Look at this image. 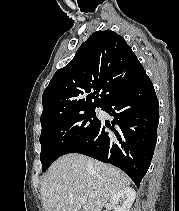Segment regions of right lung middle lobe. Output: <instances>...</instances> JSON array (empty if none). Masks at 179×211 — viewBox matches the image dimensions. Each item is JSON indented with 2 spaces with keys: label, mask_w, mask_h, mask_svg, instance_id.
<instances>
[{
  "label": "right lung middle lobe",
  "mask_w": 179,
  "mask_h": 211,
  "mask_svg": "<svg viewBox=\"0 0 179 211\" xmlns=\"http://www.w3.org/2000/svg\"><path fill=\"white\" fill-rule=\"evenodd\" d=\"M101 120L95 108L58 117L42 127L40 160L45 171L58 157L87 142Z\"/></svg>",
  "instance_id": "1"
}]
</instances>
